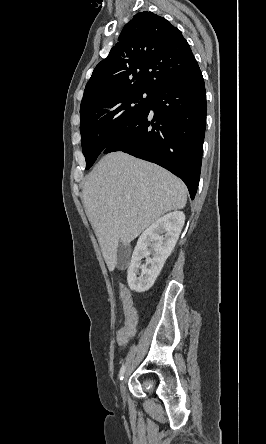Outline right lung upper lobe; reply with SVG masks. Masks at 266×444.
I'll list each match as a JSON object with an SVG mask.
<instances>
[{"label":"right lung upper lobe","instance_id":"cb5924a9","mask_svg":"<svg viewBox=\"0 0 266 444\" xmlns=\"http://www.w3.org/2000/svg\"><path fill=\"white\" fill-rule=\"evenodd\" d=\"M198 63L180 30L152 12L136 14L87 82L80 109L129 89L154 92L190 75Z\"/></svg>","mask_w":266,"mask_h":444}]
</instances>
